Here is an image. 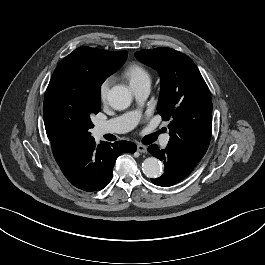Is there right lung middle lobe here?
I'll list each match as a JSON object with an SVG mask.
<instances>
[{"label": "right lung middle lobe", "mask_w": 265, "mask_h": 265, "mask_svg": "<svg viewBox=\"0 0 265 265\" xmlns=\"http://www.w3.org/2000/svg\"><path fill=\"white\" fill-rule=\"evenodd\" d=\"M125 61L82 46L60 62L44 98V123L50 142L70 145L91 137V115L100 112L101 85Z\"/></svg>", "instance_id": "right-lung-middle-lobe-1"}]
</instances>
